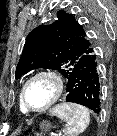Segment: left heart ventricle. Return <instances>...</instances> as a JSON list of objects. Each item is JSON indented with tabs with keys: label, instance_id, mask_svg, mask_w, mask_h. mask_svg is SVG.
<instances>
[{
	"label": "left heart ventricle",
	"instance_id": "obj_1",
	"mask_svg": "<svg viewBox=\"0 0 117 136\" xmlns=\"http://www.w3.org/2000/svg\"><path fill=\"white\" fill-rule=\"evenodd\" d=\"M55 92L53 82L40 77L33 80L27 88L26 99L28 105L33 109H41L52 99Z\"/></svg>",
	"mask_w": 117,
	"mask_h": 136
}]
</instances>
